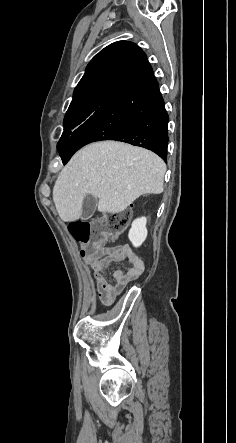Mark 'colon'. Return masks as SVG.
Listing matches in <instances>:
<instances>
[{
    "label": "colon",
    "mask_w": 236,
    "mask_h": 443,
    "mask_svg": "<svg viewBox=\"0 0 236 443\" xmlns=\"http://www.w3.org/2000/svg\"><path fill=\"white\" fill-rule=\"evenodd\" d=\"M128 222V214H114L94 222L78 219L69 224V232L82 244L83 258L91 261L100 255L105 242L113 241L125 232Z\"/></svg>",
    "instance_id": "5ec220e1"
}]
</instances>
